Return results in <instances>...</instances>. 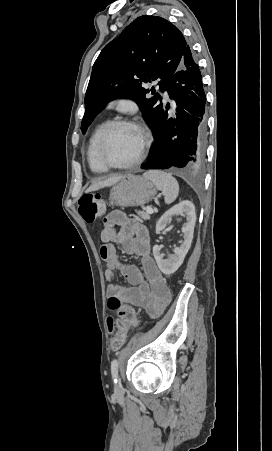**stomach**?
I'll list each match as a JSON object with an SVG mask.
<instances>
[{
	"instance_id": "stomach-1",
	"label": "stomach",
	"mask_w": 272,
	"mask_h": 451,
	"mask_svg": "<svg viewBox=\"0 0 272 451\" xmlns=\"http://www.w3.org/2000/svg\"><path fill=\"white\" fill-rule=\"evenodd\" d=\"M156 194L152 182L142 178L127 174L120 180L117 186H113L110 192V202L112 206H143L148 204Z\"/></svg>"
}]
</instances>
